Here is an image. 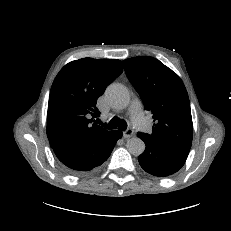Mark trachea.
<instances>
[{"mask_svg": "<svg viewBox=\"0 0 231 231\" xmlns=\"http://www.w3.org/2000/svg\"><path fill=\"white\" fill-rule=\"evenodd\" d=\"M97 123L109 129H116V128L120 130L127 129V123L123 119H119L118 117H113L108 124L102 123L100 120H97Z\"/></svg>", "mask_w": 231, "mask_h": 231, "instance_id": "obj_1", "label": "trachea"}]
</instances>
